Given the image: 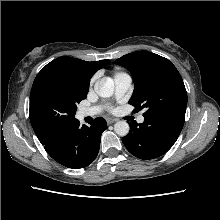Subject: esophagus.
Masks as SVG:
<instances>
[{
    "label": "esophagus",
    "instance_id": "1",
    "mask_svg": "<svg viewBox=\"0 0 220 220\" xmlns=\"http://www.w3.org/2000/svg\"><path fill=\"white\" fill-rule=\"evenodd\" d=\"M117 121V119H111V118H108L107 119V123L110 125V124H113Z\"/></svg>",
    "mask_w": 220,
    "mask_h": 220
}]
</instances>
